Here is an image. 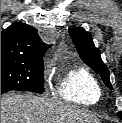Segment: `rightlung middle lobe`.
<instances>
[{
    "instance_id": "dd1d6c3e",
    "label": "right lung middle lobe",
    "mask_w": 122,
    "mask_h": 123,
    "mask_svg": "<svg viewBox=\"0 0 122 123\" xmlns=\"http://www.w3.org/2000/svg\"><path fill=\"white\" fill-rule=\"evenodd\" d=\"M43 59L1 56V91L44 92Z\"/></svg>"
}]
</instances>
